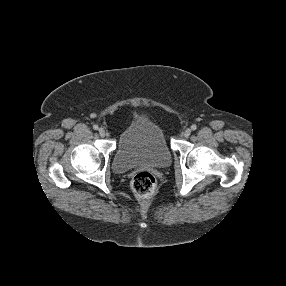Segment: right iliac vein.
I'll return each mask as SVG.
<instances>
[{"label": "right iliac vein", "instance_id": "right-iliac-vein-1", "mask_svg": "<svg viewBox=\"0 0 286 286\" xmlns=\"http://www.w3.org/2000/svg\"><path fill=\"white\" fill-rule=\"evenodd\" d=\"M98 132H99V135H100L101 137H104V136L106 135V131H105L104 128H100V129L98 130Z\"/></svg>", "mask_w": 286, "mask_h": 286}]
</instances>
